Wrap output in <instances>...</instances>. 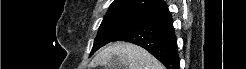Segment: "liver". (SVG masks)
Instances as JSON below:
<instances>
[{"instance_id": "1", "label": "liver", "mask_w": 246, "mask_h": 69, "mask_svg": "<svg viewBox=\"0 0 246 69\" xmlns=\"http://www.w3.org/2000/svg\"><path fill=\"white\" fill-rule=\"evenodd\" d=\"M114 56L118 57L121 66L117 69H164L148 51L127 42L109 44L97 54L96 61L106 66Z\"/></svg>"}]
</instances>
